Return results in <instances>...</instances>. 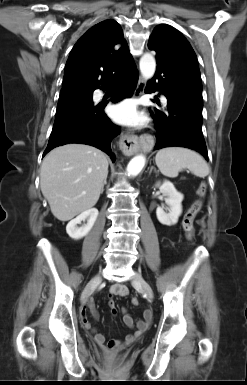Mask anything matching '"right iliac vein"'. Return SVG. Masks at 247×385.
Here are the masks:
<instances>
[{"mask_svg":"<svg viewBox=\"0 0 247 385\" xmlns=\"http://www.w3.org/2000/svg\"><path fill=\"white\" fill-rule=\"evenodd\" d=\"M101 275L100 274H97L96 276H94L90 282L86 285L85 289L83 290L82 294H81V303H85L88 299V297L90 296V294L92 293V291L98 286V284L101 282Z\"/></svg>","mask_w":247,"mask_h":385,"instance_id":"right-iliac-vein-1","label":"right iliac vein"}]
</instances>
